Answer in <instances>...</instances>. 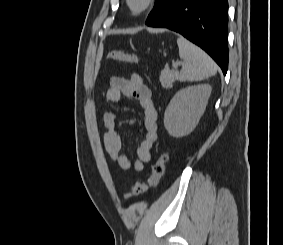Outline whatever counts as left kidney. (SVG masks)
<instances>
[{"mask_svg":"<svg viewBox=\"0 0 283 245\" xmlns=\"http://www.w3.org/2000/svg\"><path fill=\"white\" fill-rule=\"evenodd\" d=\"M208 84L189 86L178 91L164 114V126L173 137L190 134L203 115L211 94Z\"/></svg>","mask_w":283,"mask_h":245,"instance_id":"left-kidney-1","label":"left kidney"}]
</instances>
